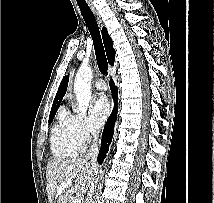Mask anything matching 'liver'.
<instances>
[{
	"label": "liver",
	"instance_id": "1",
	"mask_svg": "<svg viewBox=\"0 0 214 203\" xmlns=\"http://www.w3.org/2000/svg\"><path fill=\"white\" fill-rule=\"evenodd\" d=\"M95 168L86 159L56 160L48 162L46 170V190L50 203L57 199V203H67L68 198L75 193L83 196L90 191L93 184ZM74 180V185L66 187V191L59 193L57 188L62 182Z\"/></svg>",
	"mask_w": 214,
	"mask_h": 203
}]
</instances>
